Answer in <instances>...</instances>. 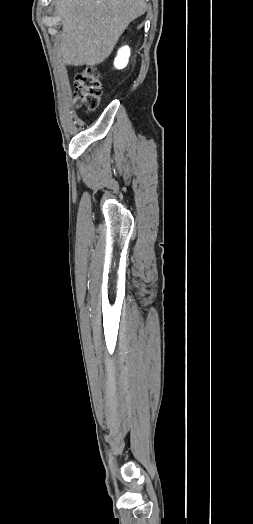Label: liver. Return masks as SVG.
<instances>
[{
  "mask_svg": "<svg viewBox=\"0 0 253 524\" xmlns=\"http://www.w3.org/2000/svg\"><path fill=\"white\" fill-rule=\"evenodd\" d=\"M146 8L145 0H56L63 24V62L74 66L102 63L128 25Z\"/></svg>",
  "mask_w": 253,
  "mask_h": 524,
  "instance_id": "1",
  "label": "liver"
}]
</instances>
